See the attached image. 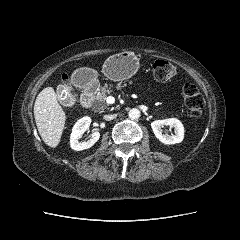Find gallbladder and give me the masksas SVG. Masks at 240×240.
Wrapping results in <instances>:
<instances>
[{
    "instance_id": "bac80fb5",
    "label": "gallbladder",
    "mask_w": 240,
    "mask_h": 240,
    "mask_svg": "<svg viewBox=\"0 0 240 240\" xmlns=\"http://www.w3.org/2000/svg\"><path fill=\"white\" fill-rule=\"evenodd\" d=\"M63 91H64V86L63 85H58L57 86L58 94L62 95ZM61 103L65 106H68L71 103V100H70V98H63Z\"/></svg>"
}]
</instances>
